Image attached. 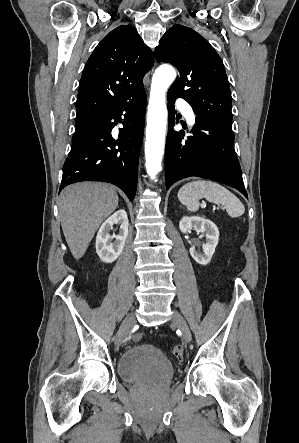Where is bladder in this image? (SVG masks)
Instances as JSON below:
<instances>
[{"label": "bladder", "mask_w": 299, "mask_h": 443, "mask_svg": "<svg viewBox=\"0 0 299 443\" xmlns=\"http://www.w3.org/2000/svg\"><path fill=\"white\" fill-rule=\"evenodd\" d=\"M117 372L128 383L160 384L172 379L174 366L155 346L137 344L120 357Z\"/></svg>", "instance_id": "bladder-1"}]
</instances>
